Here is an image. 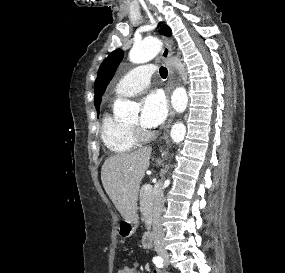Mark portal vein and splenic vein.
Wrapping results in <instances>:
<instances>
[{"mask_svg":"<svg viewBox=\"0 0 285 273\" xmlns=\"http://www.w3.org/2000/svg\"><path fill=\"white\" fill-rule=\"evenodd\" d=\"M143 188L145 190H150L152 188V186L150 184H146Z\"/></svg>","mask_w":285,"mask_h":273,"instance_id":"18ae733b","label":"portal vein and splenic vein"}]
</instances>
